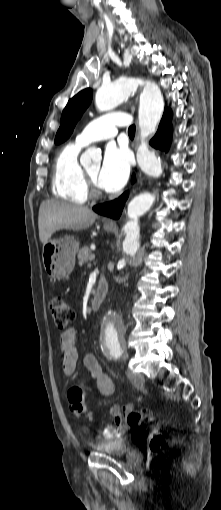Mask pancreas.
Masks as SVG:
<instances>
[{"instance_id":"cf45deb5","label":"pancreas","mask_w":221,"mask_h":510,"mask_svg":"<svg viewBox=\"0 0 221 510\" xmlns=\"http://www.w3.org/2000/svg\"><path fill=\"white\" fill-rule=\"evenodd\" d=\"M91 255L92 254L87 246H84L82 249H80L78 252L79 265L82 266L84 263H86Z\"/></svg>"}]
</instances>
